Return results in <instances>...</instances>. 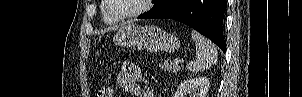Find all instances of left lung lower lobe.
<instances>
[{
    "label": "left lung lower lobe",
    "instance_id": "1",
    "mask_svg": "<svg viewBox=\"0 0 302 97\" xmlns=\"http://www.w3.org/2000/svg\"><path fill=\"white\" fill-rule=\"evenodd\" d=\"M226 0H156L139 19L172 18L208 37L226 52L222 23Z\"/></svg>",
    "mask_w": 302,
    "mask_h": 97
}]
</instances>
